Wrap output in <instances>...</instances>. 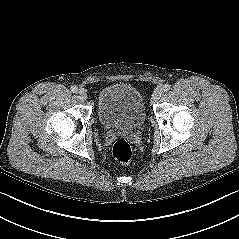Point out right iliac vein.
Listing matches in <instances>:
<instances>
[{"mask_svg": "<svg viewBox=\"0 0 239 239\" xmlns=\"http://www.w3.org/2000/svg\"><path fill=\"white\" fill-rule=\"evenodd\" d=\"M78 94L80 95V97L82 99H84V100L87 99V93H86V91L83 88L79 89Z\"/></svg>", "mask_w": 239, "mask_h": 239, "instance_id": "63e3f726", "label": "right iliac vein"}]
</instances>
